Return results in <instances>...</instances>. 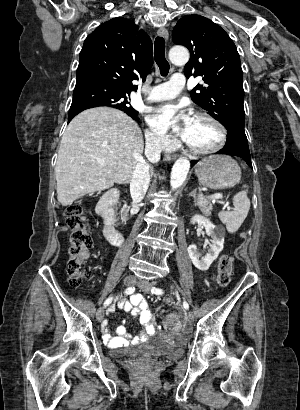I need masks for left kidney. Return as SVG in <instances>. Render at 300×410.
I'll list each match as a JSON object with an SVG mask.
<instances>
[{"mask_svg":"<svg viewBox=\"0 0 300 410\" xmlns=\"http://www.w3.org/2000/svg\"><path fill=\"white\" fill-rule=\"evenodd\" d=\"M191 223L202 225L207 235L212 238V244L208 249V253L201 259L196 245L192 244L188 247V254L193 265L201 271H206L223 250L225 232L223 229L216 227L208 218L201 215H195L191 219Z\"/></svg>","mask_w":300,"mask_h":410,"instance_id":"5707ae66","label":"left kidney"}]
</instances>
